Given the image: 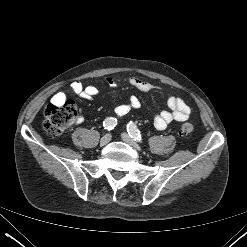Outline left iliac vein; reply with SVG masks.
Returning <instances> with one entry per match:
<instances>
[{
	"instance_id": "4c4485c4",
	"label": "left iliac vein",
	"mask_w": 247,
	"mask_h": 247,
	"mask_svg": "<svg viewBox=\"0 0 247 247\" xmlns=\"http://www.w3.org/2000/svg\"><path fill=\"white\" fill-rule=\"evenodd\" d=\"M121 136L124 142L131 145L137 151L141 150L140 146L127 133H123Z\"/></svg>"
}]
</instances>
